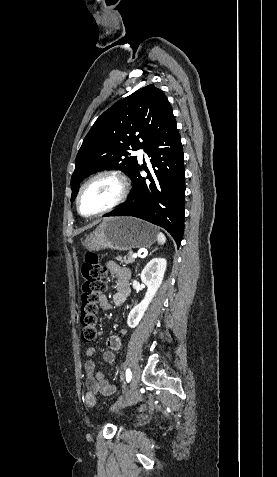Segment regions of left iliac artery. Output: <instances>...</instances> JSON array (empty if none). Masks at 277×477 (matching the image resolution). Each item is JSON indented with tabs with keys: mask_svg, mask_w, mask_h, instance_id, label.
<instances>
[{
	"mask_svg": "<svg viewBox=\"0 0 277 477\" xmlns=\"http://www.w3.org/2000/svg\"><path fill=\"white\" fill-rule=\"evenodd\" d=\"M131 378H132V373H131L130 369H127L126 370V380H127V382H130Z\"/></svg>",
	"mask_w": 277,
	"mask_h": 477,
	"instance_id": "1",
	"label": "left iliac artery"
}]
</instances>
